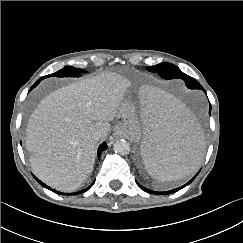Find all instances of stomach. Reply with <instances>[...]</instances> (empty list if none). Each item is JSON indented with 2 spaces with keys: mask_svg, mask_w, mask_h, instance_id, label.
<instances>
[{
  "mask_svg": "<svg viewBox=\"0 0 243 243\" xmlns=\"http://www.w3.org/2000/svg\"><path fill=\"white\" fill-rule=\"evenodd\" d=\"M120 113L122 122L119 124V130L131 140L140 141L139 120L133 104L129 101H124Z\"/></svg>",
  "mask_w": 243,
  "mask_h": 243,
  "instance_id": "stomach-1",
  "label": "stomach"
}]
</instances>
